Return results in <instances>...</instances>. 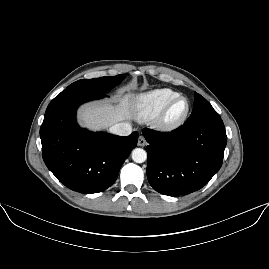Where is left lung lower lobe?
<instances>
[{"label":"left lung lower lobe","mask_w":269,"mask_h":269,"mask_svg":"<svg viewBox=\"0 0 269 269\" xmlns=\"http://www.w3.org/2000/svg\"><path fill=\"white\" fill-rule=\"evenodd\" d=\"M147 177L159 193L187 195L205 186L222 165L227 136L221 119L161 133L145 128Z\"/></svg>","instance_id":"0a47b994"}]
</instances>
